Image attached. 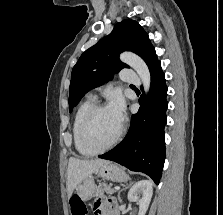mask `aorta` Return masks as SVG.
I'll use <instances>...</instances> for the list:
<instances>
[{
    "instance_id": "1",
    "label": "aorta",
    "mask_w": 223,
    "mask_h": 215,
    "mask_svg": "<svg viewBox=\"0 0 223 215\" xmlns=\"http://www.w3.org/2000/svg\"><path fill=\"white\" fill-rule=\"evenodd\" d=\"M120 60L121 62H124V64H128L130 68H133V70L138 73L145 92H148L150 88L151 76L148 66H146L144 60L139 58V56H136V54H132V52H124V54H121Z\"/></svg>"
}]
</instances>
